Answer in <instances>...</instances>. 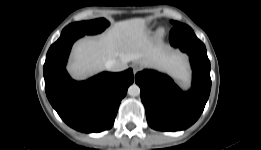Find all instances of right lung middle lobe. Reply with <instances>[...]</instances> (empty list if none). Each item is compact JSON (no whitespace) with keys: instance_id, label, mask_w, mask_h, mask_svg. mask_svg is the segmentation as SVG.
<instances>
[{"instance_id":"dd1d6c3e","label":"right lung middle lobe","mask_w":261,"mask_h":150,"mask_svg":"<svg viewBox=\"0 0 261 150\" xmlns=\"http://www.w3.org/2000/svg\"><path fill=\"white\" fill-rule=\"evenodd\" d=\"M108 25L109 22L104 18H99L91 21L76 22L65 27L62 31V34L69 32L96 34L102 32Z\"/></svg>"}]
</instances>
